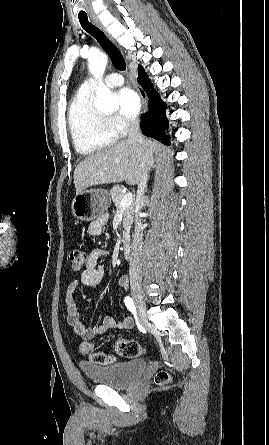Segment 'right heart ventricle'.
Segmentation results:
<instances>
[{
  "mask_svg": "<svg viewBox=\"0 0 269 445\" xmlns=\"http://www.w3.org/2000/svg\"><path fill=\"white\" fill-rule=\"evenodd\" d=\"M93 90L80 87L68 109V126L75 150L83 155L95 154L112 145L117 135L108 118L92 104Z\"/></svg>",
  "mask_w": 269,
  "mask_h": 445,
  "instance_id": "right-heart-ventricle-1",
  "label": "right heart ventricle"
}]
</instances>
